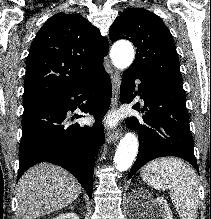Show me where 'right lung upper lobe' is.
<instances>
[{
  "label": "right lung upper lobe",
  "mask_w": 211,
  "mask_h": 219,
  "mask_svg": "<svg viewBox=\"0 0 211 219\" xmlns=\"http://www.w3.org/2000/svg\"><path fill=\"white\" fill-rule=\"evenodd\" d=\"M106 37L79 14L52 16L38 31L26 61L24 107H33L104 69Z\"/></svg>",
  "instance_id": "1"
}]
</instances>
